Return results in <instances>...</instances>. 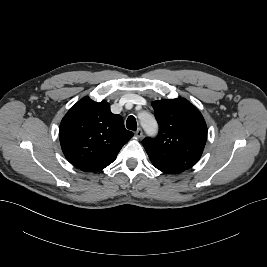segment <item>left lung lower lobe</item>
<instances>
[{"mask_svg":"<svg viewBox=\"0 0 267 267\" xmlns=\"http://www.w3.org/2000/svg\"><path fill=\"white\" fill-rule=\"evenodd\" d=\"M160 171L166 173V174H176V173H180L182 172L181 170H177V169H167V168H157Z\"/></svg>","mask_w":267,"mask_h":267,"instance_id":"left-lung-lower-lobe-1","label":"left lung lower lobe"}]
</instances>
